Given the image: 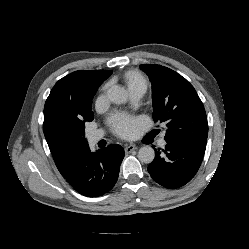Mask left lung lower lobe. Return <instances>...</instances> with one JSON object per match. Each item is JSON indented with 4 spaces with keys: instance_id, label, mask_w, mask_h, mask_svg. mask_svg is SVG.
Here are the masks:
<instances>
[{
    "instance_id": "obj_1",
    "label": "left lung lower lobe",
    "mask_w": 249,
    "mask_h": 249,
    "mask_svg": "<svg viewBox=\"0 0 249 249\" xmlns=\"http://www.w3.org/2000/svg\"><path fill=\"white\" fill-rule=\"evenodd\" d=\"M155 152V159L148 166V172L157 183L171 189L188 183L203 160L202 154L171 143H167L162 152L159 148Z\"/></svg>"
}]
</instances>
